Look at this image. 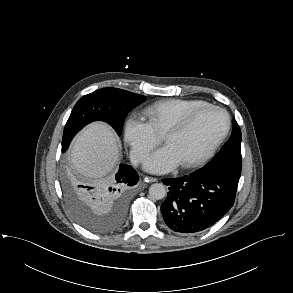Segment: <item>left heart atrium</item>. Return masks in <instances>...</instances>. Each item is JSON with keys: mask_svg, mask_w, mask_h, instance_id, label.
Returning a JSON list of instances; mask_svg holds the SVG:
<instances>
[{"mask_svg": "<svg viewBox=\"0 0 293 293\" xmlns=\"http://www.w3.org/2000/svg\"><path fill=\"white\" fill-rule=\"evenodd\" d=\"M180 164L170 146L166 145L157 150L154 154L148 157L145 161L147 170L154 173L168 172Z\"/></svg>", "mask_w": 293, "mask_h": 293, "instance_id": "obj_1", "label": "left heart atrium"}]
</instances>
